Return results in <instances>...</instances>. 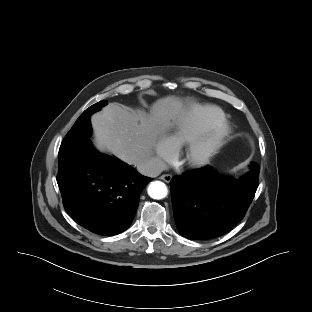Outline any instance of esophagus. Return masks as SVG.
Wrapping results in <instances>:
<instances>
[{
    "instance_id": "obj_1",
    "label": "esophagus",
    "mask_w": 312,
    "mask_h": 312,
    "mask_svg": "<svg viewBox=\"0 0 312 312\" xmlns=\"http://www.w3.org/2000/svg\"><path fill=\"white\" fill-rule=\"evenodd\" d=\"M160 179H162L163 181L169 183L172 179V176L170 174H164L162 176H160Z\"/></svg>"
}]
</instances>
